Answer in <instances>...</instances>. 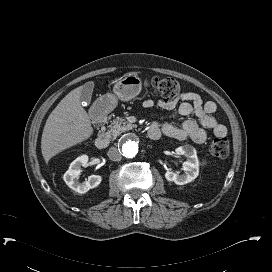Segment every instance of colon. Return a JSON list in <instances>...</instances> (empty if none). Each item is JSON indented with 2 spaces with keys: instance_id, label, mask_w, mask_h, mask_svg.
<instances>
[{
  "instance_id": "colon-1",
  "label": "colon",
  "mask_w": 272,
  "mask_h": 272,
  "mask_svg": "<svg viewBox=\"0 0 272 272\" xmlns=\"http://www.w3.org/2000/svg\"><path fill=\"white\" fill-rule=\"evenodd\" d=\"M145 86L165 102H171L181 92L180 84L169 77H150L145 80ZM230 144L226 137H216L209 146L210 153L218 158L226 157L229 153Z\"/></svg>"
}]
</instances>
